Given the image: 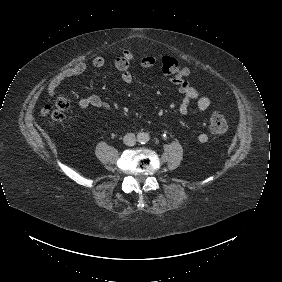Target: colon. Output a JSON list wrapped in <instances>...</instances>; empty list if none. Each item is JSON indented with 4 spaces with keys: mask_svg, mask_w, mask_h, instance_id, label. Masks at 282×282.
Segmentation results:
<instances>
[{
    "mask_svg": "<svg viewBox=\"0 0 282 282\" xmlns=\"http://www.w3.org/2000/svg\"><path fill=\"white\" fill-rule=\"evenodd\" d=\"M162 70L164 73L172 75L173 80L177 82L183 81L189 75L187 69L181 67L178 62L171 57H166L162 60ZM69 108V101L65 98L59 97L55 101V108L50 109V107H46L44 112L50 116L54 123H61ZM227 128V120L221 113L216 112L211 116L210 130L212 133H224Z\"/></svg>",
    "mask_w": 282,
    "mask_h": 282,
    "instance_id": "colon-1",
    "label": "colon"
}]
</instances>
